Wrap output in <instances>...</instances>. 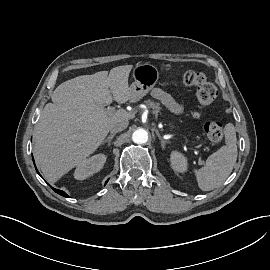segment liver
Returning <instances> with one entry per match:
<instances>
[{
    "label": "liver",
    "mask_w": 270,
    "mask_h": 270,
    "mask_svg": "<svg viewBox=\"0 0 270 270\" xmlns=\"http://www.w3.org/2000/svg\"><path fill=\"white\" fill-rule=\"evenodd\" d=\"M132 65L82 75L60 84L53 103L45 105L34 133L33 155L44 177L56 182L90 156L112 124L135 117L125 109H106L112 100H131L128 84Z\"/></svg>",
    "instance_id": "1"
}]
</instances>
